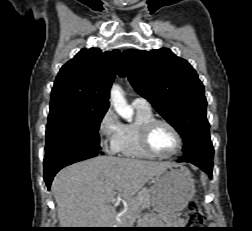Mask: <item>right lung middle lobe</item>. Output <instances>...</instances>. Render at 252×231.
<instances>
[{"instance_id":"obj_1","label":"right lung middle lobe","mask_w":252,"mask_h":231,"mask_svg":"<svg viewBox=\"0 0 252 231\" xmlns=\"http://www.w3.org/2000/svg\"><path fill=\"white\" fill-rule=\"evenodd\" d=\"M107 109L66 100L51 101L45 155L70 147L100 150L98 129Z\"/></svg>"}]
</instances>
